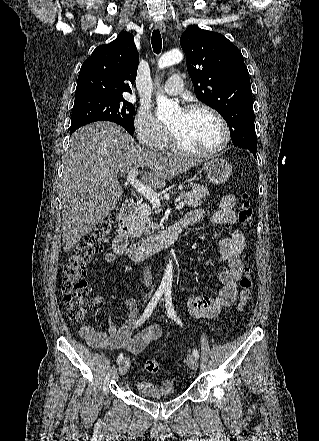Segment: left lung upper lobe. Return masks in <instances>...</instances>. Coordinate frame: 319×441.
<instances>
[{"instance_id":"1","label":"left lung upper lobe","mask_w":319,"mask_h":441,"mask_svg":"<svg viewBox=\"0 0 319 441\" xmlns=\"http://www.w3.org/2000/svg\"><path fill=\"white\" fill-rule=\"evenodd\" d=\"M196 97L217 110L234 146L257 150L249 73L241 51L222 34L188 27L180 38Z\"/></svg>"}]
</instances>
